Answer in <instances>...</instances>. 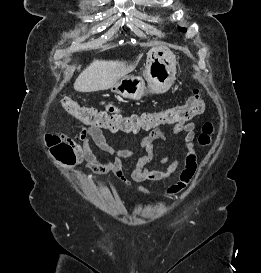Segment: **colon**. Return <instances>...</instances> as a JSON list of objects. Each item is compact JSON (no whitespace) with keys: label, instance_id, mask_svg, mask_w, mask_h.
<instances>
[{"label":"colon","instance_id":"obj_1","mask_svg":"<svg viewBox=\"0 0 261 273\" xmlns=\"http://www.w3.org/2000/svg\"><path fill=\"white\" fill-rule=\"evenodd\" d=\"M63 108L79 121L110 131L134 132L141 129H152L161 125H171L187 122L201 115L206 107L204 98L198 90H194L184 104L158 112H145L139 115L117 116L106 113L95 108L83 107L79 102L63 97L61 99ZM214 127L206 123L198 137L200 147H207L211 143ZM45 143L51 157L59 164L70 166L75 162V153L67 139L57 133L45 135ZM183 183L173 185V190L183 187Z\"/></svg>","mask_w":261,"mask_h":273}]
</instances>
